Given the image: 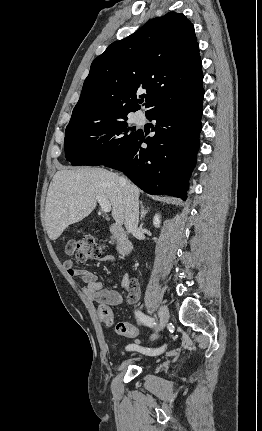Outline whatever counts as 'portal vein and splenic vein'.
<instances>
[{"label":"portal vein and splenic vein","mask_w":262,"mask_h":431,"mask_svg":"<svg viewBox=\"0 0 262 431\" xmlns=\"http://www.w3.org/2000/svg\"><path fill=\"white\" fill-rule=\"evenodd\" d=\"M98 203L101 206V210L105 213H108L111 211V203L109 202V200H107L105 197L103 196H97L96 197Z\"/></svg>","instance_id":"portal-vein-and-splenic-vein-1"}]
</instances>
